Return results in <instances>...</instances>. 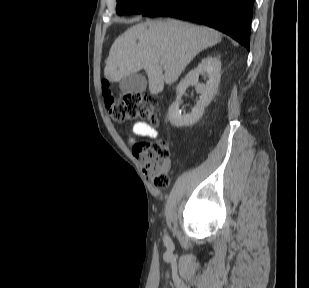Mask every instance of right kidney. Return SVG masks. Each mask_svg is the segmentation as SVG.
<instances>
[{"mask_svg": "<svg viewBox=\"0 0 309 288\" xmlns=\"http://www.w3.org/2000/svg\"><path fill=\"white\" fill-rule=\"evenodd\" d=\"M221 62L216 57H206L194 70L190 71L187 76L178 84L176 91V101L169 107L168 118L171 124L176 127H183L195 124L203 115L205 107L209 105L220 82ZM207 74L208 81L206 84H199L200 74ZM195 86L196 91L201 94L195 107L190 114L181 115L179 110L180 100L186 89Z\"/></svg>", "mask_w": 309, "mask_h": 288, "instance_id": "right-kidney-1", "label": "right kidney"}]
</instances>
